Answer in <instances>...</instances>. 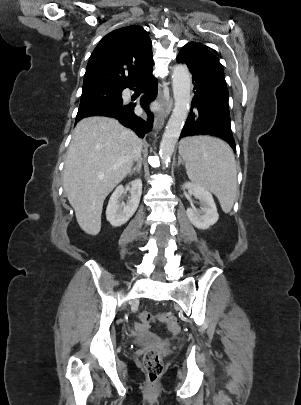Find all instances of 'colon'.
Here are the masks:
<instances>
[{"label":"colon","mask_w":301,"mask_h":405,"mask_svg":"<svg viewBox=\"0 0 301 405\" xmlns=\"http://www.w3.org/2000/svg\"><path fill=\"white\" fill-rule=\"evenodd\" d=\"M156 318L161 322L166 323L172 332H179L180 327L178 321L172 315L162 313L155 316L150 312H142L139 315L141 323L146 326L153 323ZM142 364L146 372L148 382L150 384H154L164 369V363L160 351L157 349L148 350L143 356Z\"/></svg>","instance_id":"1"}]
</instances>
